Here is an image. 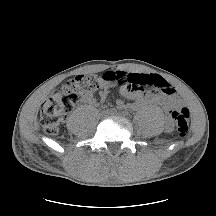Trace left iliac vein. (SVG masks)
Returning a JSON list of instances; mask_svg holds the SVG:
<instances>
[{
    "label": "left iliac vein",
    "instance_id": "4c4485c4",
    "mask_svg": "<svg viewBox=\"0 0 216 216\" xmlns=\"http://www.w3.org/2000/svg\"><path fill=\"white\" fill-rule=\"evenodd\" d=\"M114 115H120L119 113H116V114H114Z\"/></svg>",
    "mask_w": 216,
    "mask_h": 216
}]
</instances>
